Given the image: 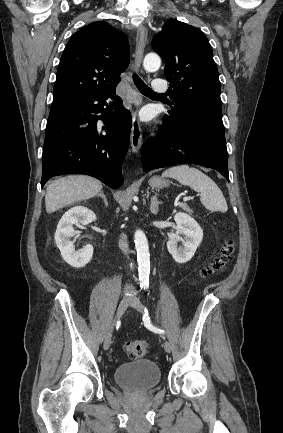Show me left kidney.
I'll list each match as a JSON object with an SVG mask.
<instances>
[{"mask_svg": "<svg viewBox=\"0 0 283 433\" xmlns=\"http://www.w3.org/2000/svg\"><path fill=\"white\" fill-rule=\"evenodd\" d=\"M176 234L167 242V248L177 263L188 262L195 254L203 239V230L194 218L186 213H176ZM179 235H183L180 238ZM181 241L183 246H178Z\"/></svg>", "mask_w": 283, "mask_h": 433, "instance_id": "obj_1", "label": "left kidney"}]
</instances>
